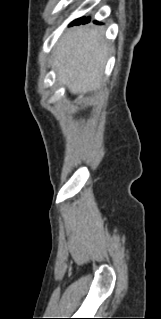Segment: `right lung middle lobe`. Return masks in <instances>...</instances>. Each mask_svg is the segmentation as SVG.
I'll use <instances>...</instances> for the list:
<instances>
[{"label": "right lung middle lobe", "instance_id": "right-lung-middle-lobe-1", "mask_svg": "<svg viewBox=\"0 0 161 319\" xmlns=\"http://www.w3.org/2000/svg\"><path fill=\"white\" fill-rule=\"evenodd\" d=\"M85 19H86V18L77 19V20H75L74 22H72L71 25L78 24V23H80L81 21H83V20H85ZM87 19H89V18H87Z\"/></svg>", "mask_w": 161, "mask_h": 319}]
</instances>
